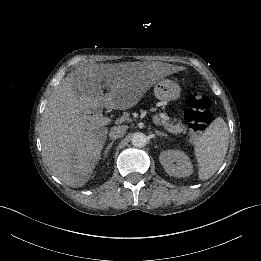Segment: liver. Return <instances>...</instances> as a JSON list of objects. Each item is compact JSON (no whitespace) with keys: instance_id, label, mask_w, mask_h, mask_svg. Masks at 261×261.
<instances>
[{"instance_id":"liver-1","label":"liver","mask_w":261,"mask_h":261,"mask_svg":"<svg viewBox=\"0 0 261 261\" xmlns=\"http://www.w3.org/2000/svg\"><path fill=\"white\" fill-rule=\"evenodd\" d=\"M167 73L154 63L83 65L70 71L54 88L40 122L44 162L54 176L70 187L86 185L109 132L98 123L102 109L135 107ZM104 87L110 89L107 95Z\"/></svg>"}]
</instances>
